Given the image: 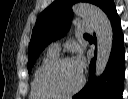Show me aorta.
<instances>
[{"mask_svg": "<svg viewBox=\"0 0 128 99\" xmlns=\"http://www.w3.org/2000/svg\"><path fill=\"white\" fill-rule=\"evenodd\" d=\"M76 16L87 19L93 26L97 38L95 74L99 77L107 67L113 45V30L107 15L97 6L79 2L73 6Z\"/></svg>", "mask_w": 128, "mask_h": 99, "instance_id": "aorta-1", "label": "aorta"}]
</instances>
